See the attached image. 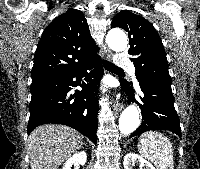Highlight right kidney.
<instances>
[{
  "instance_id": "obj_1",
  "label": "right kidney",
  "mask_w": 200,
  "mask_h": 169,
  "mask_svg": "<svg viewBox=\"0 0 200 169\" xmlns=\"http://www.w3.org/2000/svg\"><path fill=\"white\" fill-rule=\"evenodd\" d=\"M86 161H87L86 153L78 152L73 154L66 160L62 169H71L73 164L84 166Z\"/></svg>"
}]
</instances>
